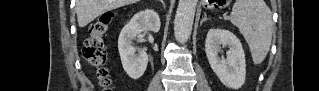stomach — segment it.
Returning <instances> with one entry per match:
<instances>
[{
  "instance_id": "obj_1",
  "label": "stomach",
  "mask_w": 319,
  "mask_h": 91,
  "mask_svg": "<svg viewBox=\"0 0 319 91\" xmlns=\"http://www.w3.org/2000/svg\"><path fill=\"white\" fill-rule=\"evenodd\" d=\"M228 1L226 0H217V1H209V3H212L211 6L212 7H217V8H223L226 6Z\"/></svg>"
}]
</instances>
